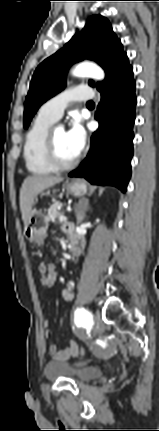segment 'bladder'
Wrapping results in <instances>:
<instances>
[{
  "label": "bladder",
  "instance_id": "bladder-1",
  "mask_svg": "<svg viewBox=\"0 0 159 431\" xmlns=\"http://www.w3.org/2000/svg\"><path fill=\"white\" fill-rule=\"evenodd\" d=\"M49 380L69 379L76 382H86L99 378L103 371L94 366L73 365L67 362H49L44 369Z\"/></svg>",
  "mask_w": 159,
  "mask_h": 431
}]
</instances>
